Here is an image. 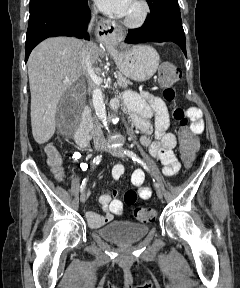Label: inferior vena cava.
Segmentation results:
<instances>
[{
    "label": "inferior vena cava",
    "instance_id": "1",
    "mask_svg": "<svg viewBox=\"0 0 240 288\" xmlns=\"http://www.w3.org/2000/svg\"><path fill=\"white\" fill-rule=\"evenodd\" d=\"M95 13L97 11L95 10ZM94 20V15L93 18L89 24V31L91 30L92 27V22ZM94 46V43L88 42L85 44L83 53H82V58H81V66H82V75H84L86 78L89 77V74L92 72V60H91V55H90V50ZM83 125H88L91 128V133L94 141L97 140H102L103 139V133L101 130V127L98 123H93V120L91 119V116L88 115L82 120Z\"/></svg>",
    "mask_w": 240,
    "mask_h": 288
}]
</instances>
